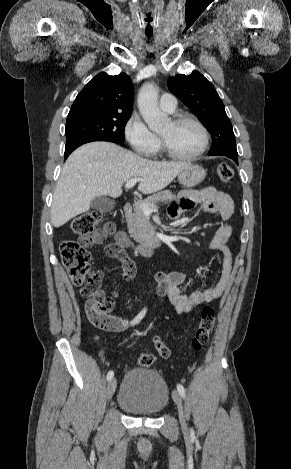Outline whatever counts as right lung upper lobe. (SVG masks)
I'll return each instance as SVG.
<instances>
[{
  "label": "right lung upper lobe",
  "instance_id": "1",
  "mask_svg": "<svg viewBox=\"0 0 291 469\" xmlns=\"http://www.w3.org/2000/svg\"><path fill=\"white\" fill-rule=\"evenodd\" d=\"M134 92L130 77L121 73L96 75L77 95L69 113L103 111L131 114Z\"/></svg>",
  "mask_w": 291,
  "mask_h": 469
}]
</instances>
